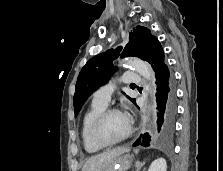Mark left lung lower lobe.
<instances>
[{"label": "left lung lower lobe", "mask_w": 223, "mask_h": 171, "mask_svg": "<svg viewBox=\"0 0 223 171\" xmlns=\"http://www.w3.org/2000/svg\"><path fill=\"white\" fill-rule=\"evenodd\" d=\"M155 71L157 84V121L154 131L149 135H141L133 146H149L150 143L159 146H168L174 136L175 120L177 114L176 86L173 73L169 70L164 60V51L157 41L147 60Z\"/></svg>", "instance_id": "left-lung-lower-lobe-1"}]
</instances>
